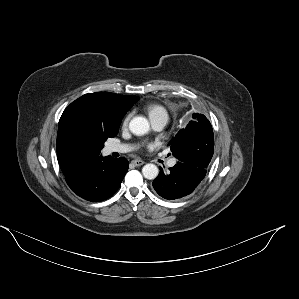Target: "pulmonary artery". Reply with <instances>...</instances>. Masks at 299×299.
<instances>
[{
    "mask_svg": "<svg viewBox=\"0 0 299 299\" xmlns=\"http://www.w3.org/2000/svg\"><path fill=\"white\" fill-rule=\"evenodd\" d=\"M168 122V117L165 115L159 116L153 120H151L152 127L156 131L162 130ZM132 146L127 144H111L108 147V151L110 153L117 152V153H126L132 150ZM176 164V159H170L167 162L168 167H173Z\"/></svg>",
    "mask_w": 299,
    "mask_h": 299,
    "instance_id": "1",
    "label": "pulmonary artery"
}]
</instances>
